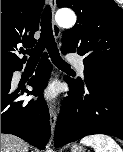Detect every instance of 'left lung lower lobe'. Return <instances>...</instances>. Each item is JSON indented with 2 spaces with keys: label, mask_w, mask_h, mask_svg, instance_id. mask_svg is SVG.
Here are the masks:
<instances>
[{
  "label": "left lung lower lobe",
  "mask_w": 123,
  "mask_h": 152,
  "mask_svg": "<svg viewBox=\"0 0 123 152\" xmlns=\"http://www.w3.org/2000/svg\"><path fill=\"white\" fill-rule=\"evenodd\" d=\"M64 79L71 92L56 123L55 146L92 134L123 140V76L88 74L85 87L69 77Z\"/></svg>",
  "instance_id": "obj_1"
}]
</instances>
